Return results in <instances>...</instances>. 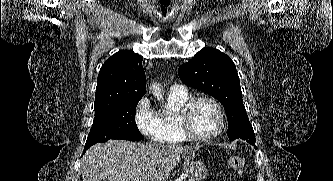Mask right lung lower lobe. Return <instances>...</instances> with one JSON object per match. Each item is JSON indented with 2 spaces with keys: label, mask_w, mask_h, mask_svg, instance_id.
I'll return each instance as SVG.
<instances>
[{
  "label": "right lung lower lobe",
  "mask_w": 333,
  "mask_h": 181,
  "mask_svg": "<svg viewBox=\"0 0 333 181\" xmlns=\"http://www.w3.org/2000/svg\"><path fill=\"white\" fill-rule=\"evenodd\" d=\"M88 148H89V147H85V148H84V152H85Z\"/></svg>",
  "instance_id": "right-lung-lower-lobe-1"
}]
</instances>
